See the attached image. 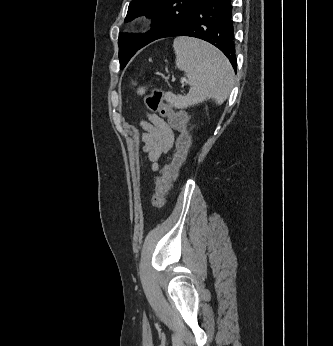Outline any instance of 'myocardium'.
Segmentation results:
<instances>
[{
    "label": "myocardium",
    "instance_id": "obj_1",
    "mask_svg": "<svg viewBox=\"0 0 333 346\" xmlns=\"http://www.w3.org/2000/svg\"><path fill=\"white\" fill-rule=\"evenodd\" d=\"M141 25H142V21H139L138 26H141Z\"/></svg>",
    "mask_w": 333,
    "mask_h": 346
}]
</instances>
